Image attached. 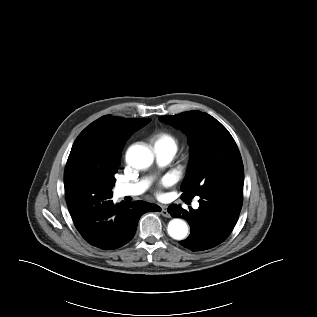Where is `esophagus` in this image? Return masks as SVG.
Listing matches in <instances>:
<instances>
[{"instance_id":"34e87169","label":"esophagus","mask_w":317,"mask_h":317,"mask_svg":"<svg viewBox=\"0 0 317 317\" xmlns=\"http://www.w3.org/2000/svg\"><path fill=\"white\" fill-rule=\"evenodd\" d=\"M161 215L167 218L170 217V214L168 213L167 207L165 205L161 206Z\"/></svg>"}]
</instances>
